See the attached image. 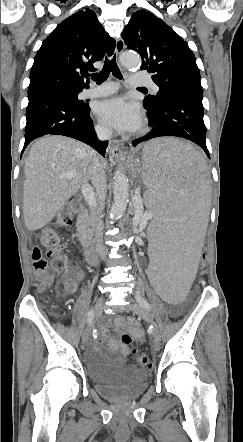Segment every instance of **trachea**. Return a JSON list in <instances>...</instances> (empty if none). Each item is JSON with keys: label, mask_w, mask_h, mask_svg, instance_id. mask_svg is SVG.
Wrapping results in <instances>:
<instances>
[{"label": "trachea", "mask_w": 243, "mask_h": 442, "mask_svg": "<svg viewBox=\"0 0 243 442\" xmlns=\"http://www.w3.org/2000/svg\"><path fill=\"white\" fill-rule=\"evenodd\" d=\"M110 72L116 78L122 79V74H121V72H120V70H119V68L117 66L116 56L115 55L110 60L106 57L103 69L99 73H94L93 76H92V79L97 84H101L102 82H104L108 78ZM139 89H146V88L141 87Z\"/></svg>", "instance_id": "obj_1"}]
</instances>
